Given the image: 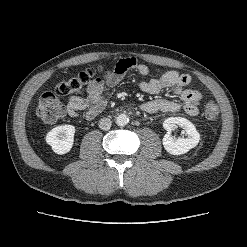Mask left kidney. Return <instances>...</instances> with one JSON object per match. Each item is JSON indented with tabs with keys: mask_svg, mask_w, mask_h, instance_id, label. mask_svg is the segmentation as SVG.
Returning <instances> with one entry per match:
<instances>
[{
	"mask_svg": "<svg viewBox=\"0 0 247 247\" xmlns=\"http://www.w3.org/2000/svg\"><path fill=\"white\" fill-rule=\"evenodd\" d=\"M177 126L184 129L186 138H175L171 131ZM163 127L167 131L163 137V146L165 150L172 155H181L187 153L190 149L197 146L200 140V134L197 132L193 123L183 117H170L163 122Z\"/></svg>",
	"mask_w": 247,
	"mask_h": 247,
	"instance_id": "1",
	"label": "left kidney"
}]
</instances>
